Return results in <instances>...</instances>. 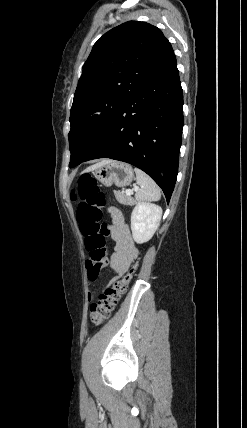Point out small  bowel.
<instances>
[{"mask_svg": "<svg viewBox=\"0 0 247 428\" xmlns=\"http://www.w3.org/2000/svg\"><path fill=\"white\" fill-rule=\"evenodd\" d=\"M111 213L113 224L108 227L107 231L116 244L110 258V267L116 272L117 276L111 279L110 284L126 273L138 256V249L132 234L125 225L121 214L116 210H112Z\"/></svg>", "mask_w": 247, "mask_h": 428, "instance_id": "obj_1", "label": "small bowel"}]
</instances>
